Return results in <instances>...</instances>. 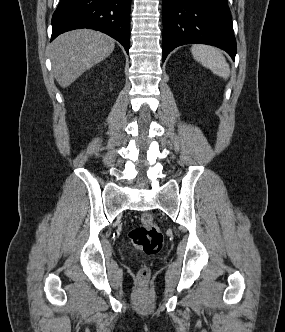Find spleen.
Here are the masks:
<instances>
[{"label": "spleen", "instance_id": "3e777b00", "mask_svg": "<svg viewBox=\"0 0 285 332\" xmlns=\"http://www.w3.org/2000/svg\"><path fill=\"white\" fill-rule=\"evenodd\" d=\"M191 52L196 61L224 79L230 76V67L222 52L209 45H193Z\"/></svg>", "mask_w": 285, "mask_h": 332}]
</instances>
